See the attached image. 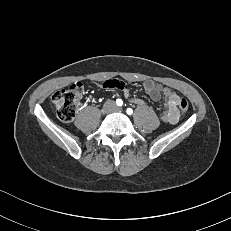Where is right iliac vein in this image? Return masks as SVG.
Returning a JSON list of instances; mask_svg holds the SVG:
<instances>
[{"mask_svg":"<svg viewBox=\"0 0 231 231\" xmlns=\"http://www.w3.org/2000/svg\"><path fill=\"white\" fill-rule=\"evenodd\" d=\"M113 110V103L112 102H107L104 106H103V112L104 113H109Z\"/></svg>","mask_w":231,"mask_h":231,"instance_id":"63e3f726","label":"right iliac vein"}]
</instances>
